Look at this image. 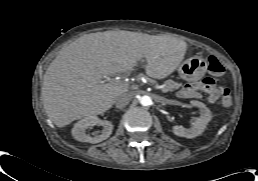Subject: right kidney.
<instances>
[{
    "label": "right kidney",
    "instance_id": "ca27d5eb",
    "mask_svg": "<svg viewBox=\"0 0 258 181\" xmlns=\"http://www.w3.org/2000/svg\"><path fill=\"white\" fill-rule=\"evenodd\" d=\"M95 125L103 126V130L100 133H93L92 136L86 134V130ZM112 130L113 125L111 122L101 120L97 116L91 115L74 124L72 135L77 141L95 144L106 140L112 134Z\"/></svg>",
    "mask_w": 258,
    "mask_h": 181
}]
</instances>
